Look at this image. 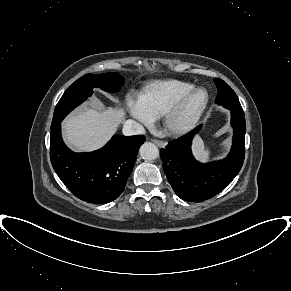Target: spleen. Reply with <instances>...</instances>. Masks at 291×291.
Masks as SVG:
<instances>
[{
	"label": "spleen",
	"instance_id": "spleen-1",
	"mask_svg": "<svg viewBox=\"0 0 291 291\" xmlns=\"http://www.w3.org/2000/svg\"><path fill=\"white\" fill-rule=\"evenodd\" d=\"M194 153L199 159L203 161L207 160L210 155V151L208 149H205L203 142L199 139L195 142Z\"/></svg>",
	"mask_w": 291,
	"mask_h": 291
}]
</instances>
